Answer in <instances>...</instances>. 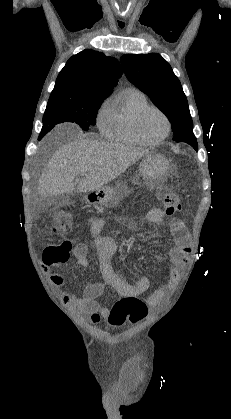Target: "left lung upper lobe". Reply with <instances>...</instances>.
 <instances>
[{
  "label": "left lung upper lobe",
  "mask_w": 231,
  "mask_h": 419,
  "mask_svg": "<svg viewBox=\"0 0 231 419\" xmlns=\"http://www.w3.org/2000/svg\"><path fill=\"white\" fill-rule=\"evenodd\" d=\"M121 64L128 80L167 116L172 124L173 140L186 142L197 150L187 98L169 63L159 54L149 53L125 54Z\"/></svg>",
  "instance_id": "1"
}]
</instances>
